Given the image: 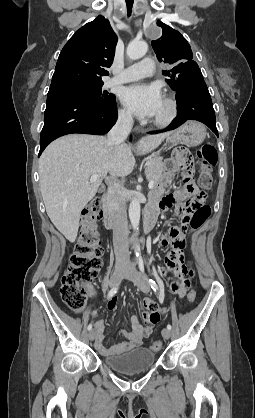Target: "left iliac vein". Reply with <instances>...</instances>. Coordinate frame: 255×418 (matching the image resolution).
I'll use <instances>...</instances> for the list:
<instances>
[{"mask_svg":"<svg viewBox=\"0 0 255 418\" xmlns=\"http://www.w3.org/2000/svg\"><path fill=\"white\" fill-rule=\"evenodd\" d=\"M125 278L132 281L134 284H136L141 291L144 293H148L150 291V285L146 281V278L144 275H142L134 265H130L128 270L125 272ZM171 335V332L169 329L164 328L162 330V336L165 340L169 339Z\"/></svg>","mask_w":255,"mask_h":418,"instance_id":"4c4485c4","label":"left iliac vein"}]
</instances>
